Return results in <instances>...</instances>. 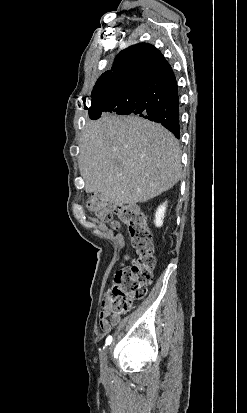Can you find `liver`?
<instances>
[{
	"label": "liver",
	"instance_id": "obj_1",
	"mask_svg": "<svg viewBox=\"0 0 247 413\" xmlns=\"http://www.w3.org/2000/svg\"><path fill=\"white\" fill-rule=\"evenodd\" d=\"M78 162L86 192H101L115 204L145 202L181 176V150L172 132L114 112L82 128Z\"/></svg>",
	"mask_w": 247,
	"mask_h": 413
}]
</instances>
